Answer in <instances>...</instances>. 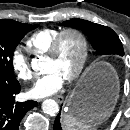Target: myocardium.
<instances>
[{"label":"myocardium","instance_id":"myocardium-1","mask_svg":"<svg viewBox=\"0 0 130 130\" xmlns=\"http://www.w3.org/2000/svg\"><path fill=\"white\" fill-rule=\"evenodd\" d=\"M67 34H73L75 36L78 37V39L81 42V48H82V52H81V57L79 60V63L77 65V67L75 68V70L66 78V80L68 82L74 81L76 80L78 77H80V75L82 74V72L85 69L87 60H88V56H89V42H88V38L85 35V33L76 28V27H68L65 28L63 30H61L56 37L53 39L48 51H47V56L49 58H54L57 56L59 49H60V45L61 42L63 40V38L67 35Z\"/></svg>","mask_w":130,"mask_h":130}]
</instances>
